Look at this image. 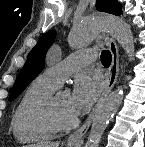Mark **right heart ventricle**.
I'll return each instance as SVG.
<instances>
[{"label":"right heart ventricle","mask_w":145,"mask_h":147,"mask_svg":"<svg viewBox=\"0 0 145 147\" xmlns=\"http://www.w3.org/2000/svg\"><path fill=\"white\" fill-rule=\"evenodd\" d=\"M59 84L44 73L28 85L13 115L14 136L21 142L35 143L53 138L59 128L51 120L47 103Z\"/></svg>","instance_id":"e07e8e85"}]
</instances>
